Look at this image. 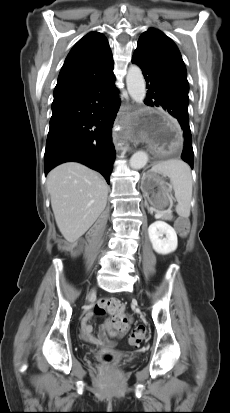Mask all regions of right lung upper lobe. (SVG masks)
<instances>
[{
	"label": "right lung upper lobe",
	"mask_w": 230,
	"mask_h": 413,
	"mask_svg": "<svg viewBox=\"0 0 230 413\" xmlns=\"http://www.w3.org/2000/svg\"><path fill=\"white\" fill-rule=\"evenodd\" d=\"M113 74L107 39L98 32L81 38L68 54L54 89V97L83 90Z\"/></svg>",
	"instance_id": "cb5924a9"
}]
</instances>
